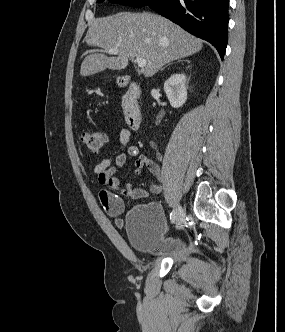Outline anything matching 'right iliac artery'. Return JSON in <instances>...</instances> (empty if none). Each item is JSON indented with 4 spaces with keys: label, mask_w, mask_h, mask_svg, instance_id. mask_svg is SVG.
Instances as JSON below:
<instances>
[{
    "label": "right iliac artery",
    "mask_w": 285,
    "mask_h": 332,
    "mask_svg": "<svg viewBox=\"0 0 285 332\" xmlns=\"http://www.w3.org/2000/svg\"><path fill=\"white\" fill-rule=\"evenodd\" d=\"M175 219H176V212L175 210H172V212L170 213V220L172 223H174Z\"/></svg>",
    "instance_id": "right-iliac-artery-1"
}]
</instances>
